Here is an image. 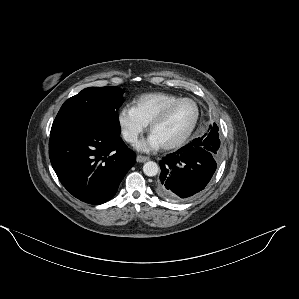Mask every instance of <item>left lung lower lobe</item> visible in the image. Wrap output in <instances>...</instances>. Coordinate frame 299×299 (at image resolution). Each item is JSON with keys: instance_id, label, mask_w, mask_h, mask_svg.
<instances>
[{"instance_id": "0a47b994", "label": "left lung lower lobe", "mask_w": 299, "mask_h": 299, "mask_svg": "<svg viewBox=\"0 0 299 299\" xmlns=\"http://www.w3.org/2000/svg\"><path fill=\"white\" fill-rule=\"evenodd\" d=\"M212 144L204 135L163 158L157 194L171 202H183L201 192L217 168L219 153Z\"/></svg>"}]
</instances>
